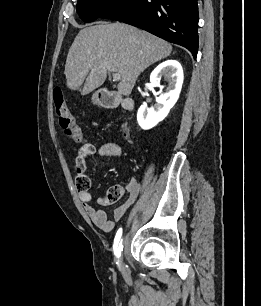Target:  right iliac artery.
I'll list each match as a JSON object with an SVG mask.
<instances>
[{
    "instance_id": "obj_1",
    "label": "right iliac artery",
    "mask_w": 261,
    "mask_h": 306,
    "mask_svg": "<svg viewBox=\"0 0 261 306\" xmlns=\"http://www.w3.org/2000/svg\"><path fill=\"white\" fill-rule=\"evenodd\" d=\"M122 228H119L114 239V254L117 258L116 264H119V259L121 257V252L123 250L122 245Z\"/></svg>"
}]
</instances>
